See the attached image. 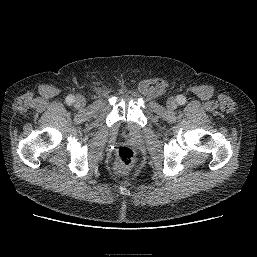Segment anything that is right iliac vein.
Returning a JSON list of instances; mask_svg holds the SVG:
<instances>
[{"label": "right iliac vein", "mask_w": 257, "mask_h": 257, "mask_svg": "<svg viewBox=\"0 0 257 257\" xmlns=\"http://www.w3.org/2000/svg\"><path fill=\"white\" fill-rule=\"evenodd\" d=\"M86 104V100L83 96L79 95L75 99V107L76 108H83Z\"/></svg>", "instance_id": "63e3f726"}]
</instances>
